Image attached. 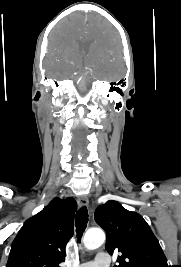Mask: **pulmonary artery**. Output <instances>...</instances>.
I'll use <instances>...</instances> for the list:
<instances>
[{
	"label": "pulmonary artery",
	"instance_id": "obj_1",
	"mask_svg": "<svg viewBox=\"0 0 181 267\" xmlns=\"http://www.w3.org/2000/svg\"><path fill=\"white\" fill-rule=\"evenodd\" d=\"M109 264L110 260L105 256V253L100 252L95 261L83 263L78 267H108Z\"/></svg>",
	"mask_w": 181,
	"mask_h": 267
}]
</instances>
